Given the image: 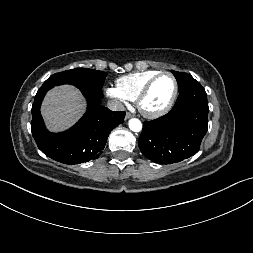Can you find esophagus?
<instances>
[{"mask_svg":"<svg viewBox=\"0 0 253 253\" xmlns=\"http://www.w3.org/2000/svg\"><path fill=\"white\" fill-rule=\"evenodd\" d=\"M133 117V114H131L130 112H127L125 115V120L130 119Z\"/></svg>","mask_w":253,"mask_h":253,"instance_id":"34e87169","label":"esophagus"}]
</instances>
